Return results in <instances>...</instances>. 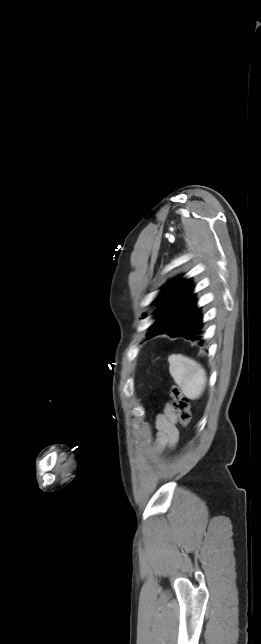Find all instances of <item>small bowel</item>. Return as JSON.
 <instances>
[{
  "label": "small bowel",
  "instance_id": "c3829d8e",
  "mask_svg": "<svg viewBox=\"0 0 261 644\" xmlns=\"http://www.w3.org/2000/svg\"><path fill=\"white\" fill-rule=\"evenodd\" d=\"M176 423L175 410L171 404H167L163 413L158 414L155 421L157 429L155 449L157 451L173 449L176 446L179 437Z\"/></svg>",
  "mask_w": 261,
  "mask_h": 644
}]
</instances>
